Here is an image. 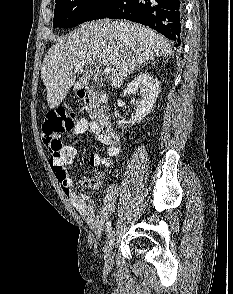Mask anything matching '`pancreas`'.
Wrapping results in <instances>:
<instances>
[{"mask_svg": "<svg viewBox=\"0 0 233 294\" xmlns=\"http://www.w3.org/2000/svg\"><path fill=\"white\" fill-rule=\"evenodd\" d=\"M89 110L91 111L92 114H94V112H92V109L91 108Z\"/></svg>", "mask_w": 233, "mask_h": 294, "instance_id": "obj_1", "label": "pancreas"}]
</instances>
